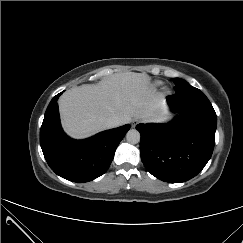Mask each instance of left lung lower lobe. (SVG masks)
<instances>
[{
  "label": "left lung lower lobe",
  "instance_id": "0a47b994",
  "mask_svg": "<svg viewBox=\"0 0 243 243\" xmlns=\"http://www.w3.org/2000/svg\"><path fill=\"white\" fill-rule=\"evenodd\" d=\"M167 97L178 115L167 124H138L141 159L156 178L170 183L196 176L211 158L217 116L214 110L196 108L200 90L188 85Z\"/></svg>",
  "mask_w": 243,
  "mask_h": 243
}]
</instances>
